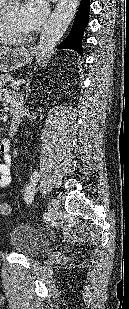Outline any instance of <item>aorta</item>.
<instances>
[{
    "instance_id": "1",
    "label": "aorta",
    "mask_w": 129,
    "mask_h": 309,
    "mask_svg": "<svg viewBox=\"0 0 129 309\" xmlns=\"http://www.w3.org/2000/svg\"><path fill=\"white\" fill-rule=\"evenodd\" d=\"M68 1V2H67ZM75 0H66L61 8L57 11L51 22L45 27L40 39L39 61L44 63L45 59L50 56L56 44L58 43L62 30L66 25V20L70 9L74 6Z\"/></svg>"
}]
</instances>
